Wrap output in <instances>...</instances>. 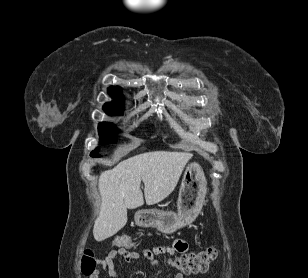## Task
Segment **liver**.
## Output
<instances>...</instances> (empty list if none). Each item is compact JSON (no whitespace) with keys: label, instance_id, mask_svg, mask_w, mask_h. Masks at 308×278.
I'll list each match as a JSON object with an SVG mask.
<instances>
[{"label":"liver","instance_id":"liver-1","mask_svg":"<svg viewBox=\"0 0 308 278\" xmlns=\"http://www.w3.org/2000/svg\"><path fill=\"white\" fill-rule=\"evenodd\" d=\"M191 157L192 154L186 152H146L102 172L98 181L102 203L93 228L95 240L99 242L115 235L127 223V208L135 209L144 204L141 181L147 205L168 197Z\"/></svg>","mask_w":308,"mask_h":278}]
</instances>
